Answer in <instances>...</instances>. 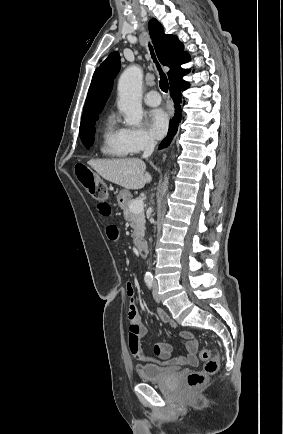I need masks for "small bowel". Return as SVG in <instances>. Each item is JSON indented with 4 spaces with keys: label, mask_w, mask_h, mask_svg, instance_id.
Instances as JSON below:
<instances>
[{
    "label": "small bowel",
    "mask_w": 283,
    "mask_h": 434,
    "mask_svg": "<svg viewBox=\"0 0 283 434\" xmlns=\"http://www.w3.org/2000/svg\"><path fill=\"white\" fill-rule=\"evenodd\" d=\"M98 213L103 217H108L111 215V206L107 201H101L97 205ZM107 238L115 242L118 240L119 232L116 226L110 225L106 229ZM127 294L129 296V308H128V323H129V336L128 343L129 349L133 358L141 363H152L166 366H181V365H192L198 364V359L196 357V352L198 349L197 341L194 339V335L190 331H180L179 335L181 338L186 340L185 349L186 355L171 358V345L169 343H161L155 346V355L146 354L141 347L143 339L147 335V330L141 322V318L138 313V309L134 297V288L128 283L127 284ZM158 317L165 323L169 324L172 328H176L177 324L169 318L166 312L158 309L156 311ZM142 364L137 366L138 370L142 368Z\"/></svg>",
    "instance_id": "small-bowel-1"
}]
</instances>
